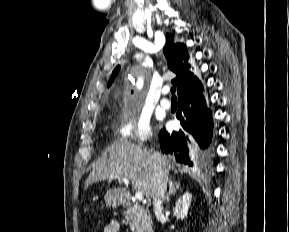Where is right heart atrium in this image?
<instances>
[{
  "label": "right heart atrium",
  "mask_w": 289,
  "mask_h": 232,
  "mask_svg": "<svg viewBox=\"0 0 289 232\" xmlns=\"http://www.w3.org/2000/svg\"><path fill=\"white\" fill-rule=\"evenodd\" d=\"M115 133L124 142L144 143L151 138L152 127L148 117L127 114L120 119Z\"/></svg>",
  "instance_id": "1"
}]
</instances>
